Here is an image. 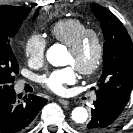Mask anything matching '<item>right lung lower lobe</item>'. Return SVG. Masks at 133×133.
Wrapping results in <instances>:
<instances>
[{
    "label": "right lung lower lobe",
    "mask_w": 133,
    "mask_h": 133,
    "mask_svg": "<svg viewBox=\"0 0 133 133\" xmlns=\"http://www.w3.org/2000/svg\"><path fill=\"white\" fill-rule=\"evenodd\" d=\"M46 103L45 98L32 94L22 97L14 90L0 96V132L24 131Z\"/></svg>",
    "instance_id": "obj_1"
}]
</instances>
